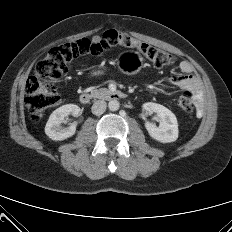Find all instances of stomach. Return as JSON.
Segmentation results:
<instances>
[{"mask_svg": "<svg viewBox=\"0 0 232 232\" xmlns=\"http://www.w3.org/2000/svg\"><path fill=\"white\" fill-rule=\"evenodd\" d=\"M143 65V57L138 52H125L118 59L120 71L126 74H135L139 72ZM94 76L105 74L104 69L96 68L91 72Z\"/></svg>", "mask_w": 232, "mask_h": 232, "instance_id": "obj_1", "label": "stomach"}]
</instances>
